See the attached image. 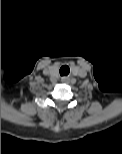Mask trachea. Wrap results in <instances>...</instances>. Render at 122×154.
Wrapping results in <instances>:
<instances>
[{"label":"trachea","mask_w":122,"mask_h":154,"mask_svg":"<svg viewBox=\"0 0 122 154\" xmlns=\"http://www.w3.org/2000/svg\"><path fill=\"white\" fill-rule=\"evenodd\" d=\"M59 72H60L61 76H67L70 72V69L67 65H63V66H61Z\"/></svg>","instance_id":"3493384b"}]
</instances>
